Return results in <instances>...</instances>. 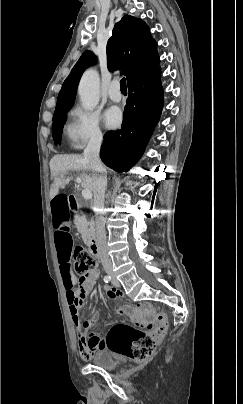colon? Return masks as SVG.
Segmentation results:
<instances>
[{
  "instance_id": "5ec220e1",
  "label": "colon",
  "mask_w": 243,
  "mask_h": 404,
  "mask_svg": "<svg viewBox=\"0 0 243 404\" xmlns=\"http://www.w3.org/2000/svg\"><path fill=\"white\" fill-rule=\"evenodd\" d=\"M75 271L88 275L95 270L97 262L94 256L84 247L78 246L74 251ZM166 317L158 314V325L150 332L140 330L125 323H118L108 332L105 346L113 353L136 361L148 359L154 352L157 340L166 327Z\"/></svg>"
}]
</instances>
